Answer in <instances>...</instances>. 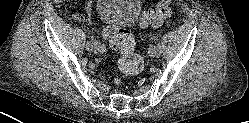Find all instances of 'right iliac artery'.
Segmentation results:
<instances>
[{
  "label": "right iliac artery",
  "mask_w": 249,
  "mask_h": 123,
  "mask_svg": "<svg viewBox=\"0 0 249 123\" xmlns=\"http://www.w3.org/2000/svg\"><path fill=\"white\" fill-rule=\"evenodd\" d=\"M93 41V39H91ZM92 44L95 46V49L101 53L106 52V47L103 45H100L96 41H93Z\"/></svg>",
  "instance_id": "obj_1"
}]
</instances>
